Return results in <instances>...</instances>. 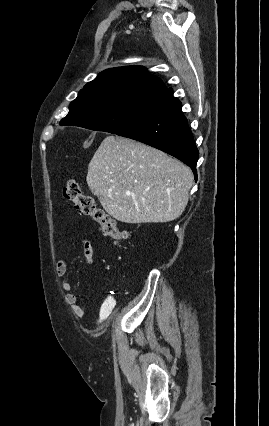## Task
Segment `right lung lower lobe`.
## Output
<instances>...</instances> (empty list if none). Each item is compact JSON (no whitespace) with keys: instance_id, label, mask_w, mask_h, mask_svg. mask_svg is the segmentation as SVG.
Wrapping results in <instances>:
<instances>
[{"instance_id":"obj_1","label":"right lung lower lobe","mask_w":269,"mask_h":426,"mask_svg":"<svg viewBox=\"0 0 269 426\" xmlns=\"http://www.w3.org/2000/svg\"><path fill=\"white\" fill-rule=\"evenodd\" d=\"M181 102L166 89L151 111L133 126L115 133L160 149L188 165L197 180L198 149Z\"/></svg>"}]
</instances>
